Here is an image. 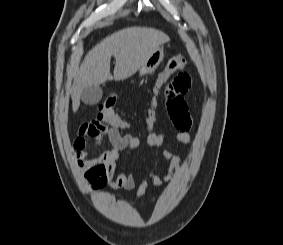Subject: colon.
<instances>
[{
  "instance_id": "1",
  "label": "colon",
  "mask_w": 283,
  "mask_h": 245,
  "mask_svg": "<svg viewBox=\"0 0 283 245\" xmlns=\"http://www.w3.org/2000/svg\"><path fill=\"white\" fill-rule=\"evenodd\" d=\"M187 64L188 61L183 55L173 56L164 69L159 72L154 84L155 90H158L172 74L183 70ZM116 102L117 96L115 93L111 92L99 105L98 118L117 128H125L127 127V123L123 121L115 111Z\"/></svg>"
}]
</instances>
